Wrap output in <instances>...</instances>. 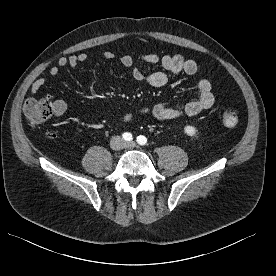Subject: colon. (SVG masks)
Instances as JSON below:
<instances>
[{
  "instance_id": "obj_1",
  "label": "colon",
  "mask_w": 276,
  "mask_h": 276,
  "mask_svg": "<svg viewBox=\"0 0 276 276\" xmlns=\"http://www.w3.org/2000/svg\"><path fill=\"white\" fill-rule=\"evenodd\" d=\"M54 112V106L46 97L29 98L23 105L26 120L33 126L46 122ZM222 123L228 128H235L239 124V113L230 107L223 109Z\"/></svg>"
}]
</instances>
